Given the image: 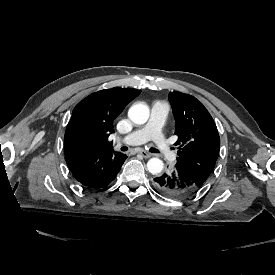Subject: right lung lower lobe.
<instances>
[{"mask_svg":"<svg viewBox=\"0 0 275 275\" xmlns=\"http://www.w3.org/2000/svg\"><path fill=\"white\" fill-rule=\"evenodd\" d=\"M65 157L74 178L83 186L94 189L109 185L127 158L125 154L112 149L79 152Z\"/></svg>","mask_w":275,"mask_h":275,"instance_id":"obj_1","label":"right lung lower lobe"}]
</instances>
